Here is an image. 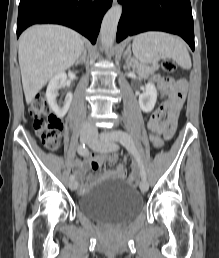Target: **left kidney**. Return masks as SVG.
I'll use <instances>...</instances> for the list:
<instances>
[{
	"label": "left kidney",
	"instance_id": "left-kidney-1",
	"mask_svg": "<svg viewBox=\"0 0 219 258\" xmlns=\"http://www.w3.org/2000/svg\"><path fill=\"white\" fill-rule=\"evenodd\" d=\"M157 100V90L153 83L146 85L145 92L139 95V106L145 113H149L154 109Z\"/></svg>",
	"mask_w": 219,
	"mask_h": 258
}]
</instances>
